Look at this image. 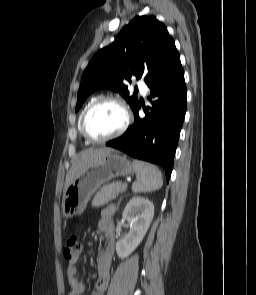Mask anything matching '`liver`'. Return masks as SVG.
I'll list each match as a JSON object with an SVG mask.
<instances>
[{"instance_id":"liver-1","label":"liver","mask_w":256,"mask_h":295,"mask_svg":"<svg viewBox=\"0 0 256 295\" xmlns=\"http://www.w3.org/2000/svg\"><path fill=\"white\" fill-rule=\"evenodd\" d=\"M111 148H90L81 152L72 164L69 172L66 175L64 191L77 178V176L86 170L89 165L96 162L106 154L112 153Z\"/></svg>"}]
</instances>
